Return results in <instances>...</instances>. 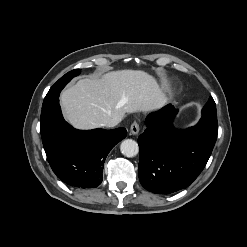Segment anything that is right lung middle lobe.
<instances>
[{
    "instance_id": "obj_1",
    "label": "right lung middle lobe",
    "mask_w": 247,
    "mask_h": 247,
    "mask_svg": "<svg viewBox=\"0 0 247 247\" xmlns=\"http://www.w3.org/2000/svg\"><path fill=\"white\" fill-rule=\"evenodd\" d=\"M80 74L79 69H75L73 71L68 72L63 77H61L49 90L46 97L43 101V106L53 102L54 100L59 98V94L61 90L65 87V85L75 76Z\"/></svg>"
}]
</instances>
